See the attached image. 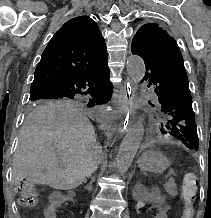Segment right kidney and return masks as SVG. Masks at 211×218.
Returning a JSON list of instances; mask_svg holds the SVG:
<instances>
[{
    "mask_svg": "<svg viewBox=\"0 0 211 218\" xmlns=\"http://www.w3.org/2000/svg\"><path fill=\"white\" fill-rule=\"evenodd\" d=\"M73 196H75L73 190H69L67 197H64V193H49L52 201H47V209H44L46 218H59L61 210L58 209V206H67V202L72 200Z\"/></svg>",
    "mask_w": 211,
    "mask_h": 218,
    "instance_id": "right-kidney-1",
    "label": "right kidney"
}]
</instances>
